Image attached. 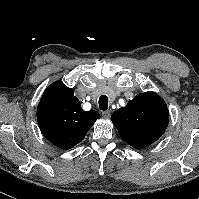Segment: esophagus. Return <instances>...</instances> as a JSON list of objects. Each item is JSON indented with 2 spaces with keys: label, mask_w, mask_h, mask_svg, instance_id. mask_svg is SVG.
<instances>
[{
  "label": "esophagus",
  "mask_w": 199,
  "mask_h": 199,
  "mask_svg": "<svg viewBox=\"0 0 199 199\" xmlns=\"http://www.w3.org/2000/svg\"><path fill=\"white\" fill-rule=\"evenodd\" d=\"M110 114H111L110 110H106V111L102 112V116L105 117V118L110 117Z\"/></svg>",
  "instance_id": "obj_1"
}]
</instances>
